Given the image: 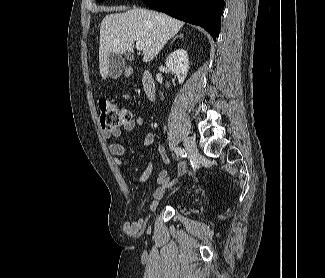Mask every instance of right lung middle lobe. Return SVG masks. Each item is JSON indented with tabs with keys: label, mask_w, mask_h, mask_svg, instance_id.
<instances>
[{
	"label": "right lung middle lobe",
	"mask_w": 325,
	"mask_h": 278,
	"mask_svg": "<svg viewBox=\"0 0 325 278\" xmlns=\"http://www.w3.org/2000/svg\"><path fill=\"white\" fill-rule=\"evenodd\" d=\"M98 2H101V1H103V0H97Z\"/></svg>",
	"instance_id": "dd1d6c3e"
}]
</instances>
